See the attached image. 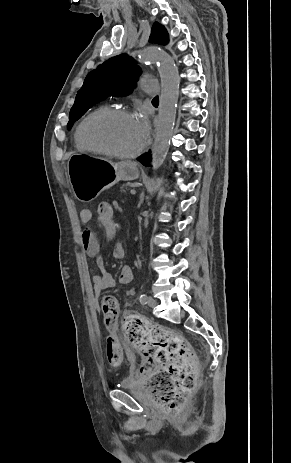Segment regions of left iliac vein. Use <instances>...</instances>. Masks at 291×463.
<instances>
[{
	"mask_svg": "<svg viewBox=\"0 0 291 463\" xmlns=\"http://www.w3.org/2000/svg\"><path fill=\"white\" fill-rule=\"evenodd\" d=\"M147 303H148V306L150 307H155L157 304L156 300L153 297H149Z\"/></svg>",
	"mask_w": 291,
	"mask_h": 463,
	"instance_id": "left-iliac-vein-1",
	"label": "left iliac vein"
}]
</instances>
